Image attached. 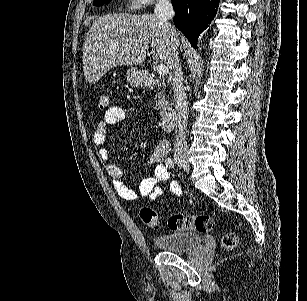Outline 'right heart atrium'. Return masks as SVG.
<instances>
[{"instance_id":"1","label":"right heart atrium","mask_w":307,"mask_h":301,"mask_svg":"<svg viewBox=\"0 0 307 301\" xmlns=\"http://www.w3.org/2000/svg\"><path fill=\"white\" fill-rule=\"evenodd\" d=\"M147 2H150V0H134L135 4H143L146 5Z\"/></svg>"}]
</instances>
